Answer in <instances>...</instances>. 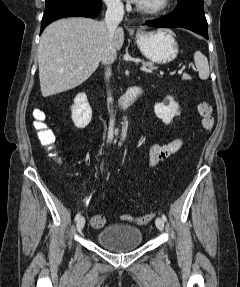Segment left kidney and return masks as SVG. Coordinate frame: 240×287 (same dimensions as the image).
Here are the masks:
<instances>
[{"label": "left kidney", "mask_w": 240, "mask_h": 287, "mask_svg": "<svg viewBox=\"0 0 240 287\" xmlns=\"http://www.w3.org/2000/svg\"><path fill=\"white\" fill-rule=\"evenodd\" d=\"M154 112L165 124H169L174 116L180 113L178 103L171 96H167L161 103H156Z\"/></svg>", "instance_id": "left-kidney-1"}]
</instances>
